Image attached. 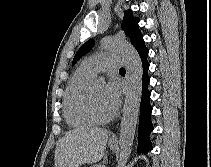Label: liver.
<instances>
[{
	"instance_id": "obj_1",
	"label": "liver",
	"mask_w": 211,
	"mask_h": 167,
	"mask_svg": "<svg viewBox=\"0 0 211 167\" xmlns=\"http://www.w3.org/2000/svg\"><path fill=\"white\" fill-rule=\"evenodd\" d=\"M110 132L103 128L82 127L65 134L55 149L54 167H80L99 162Z\"/></svg>"
}]
</instances>
